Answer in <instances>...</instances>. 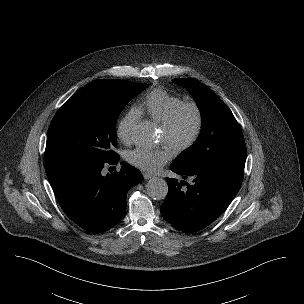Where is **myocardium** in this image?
<instances>
[{
    "instance_id": "myocardium-1",
    "label": "myocardium",
    "mask_w": 304,
    "mask_h": 304,
    "mask_svg": "<svg viewBox=\"0 0 304 304\" xmlns=\"http://www.w3.org/2000/svg\"><path fill=\"white\" fill-rule=\"evenodd\" d=\"M190 110L194 115V127L191 134L183 141H175L173 134L177 123L184 111ZM165 135V143L175 152H184L190 149L199 140L204 126V116L200 105L194 101H183L178 104L160 125Z\"/></svg>"
}]
</instances>
